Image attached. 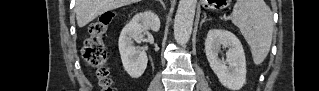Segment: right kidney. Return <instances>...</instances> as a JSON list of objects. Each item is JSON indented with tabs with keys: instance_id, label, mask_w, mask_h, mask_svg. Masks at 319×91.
<instances>
[{
	"instance_id": "1",
	"label": "right kidney",
	"mask_w": 319,
	"mask_h": 91,
	"mask_svg": "<svg viewBox=\"0 0 319 91\" xmlns=\"http://www.w3.org/2000/svg\"><path fill=\"white\" fill-rule=\"evenodd\" d=\"M151 29L154 32L160 29V19L152 11L136 14L122 29L119 37V52L125 71L132 78H139L147 67V54L139 47L134 46V41L140 42L143 32Z\"/></svg>"
}]
</instances>
